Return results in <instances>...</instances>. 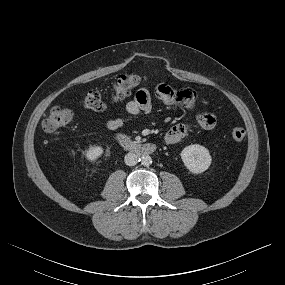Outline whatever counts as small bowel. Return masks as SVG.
<instances>
[{
  "label": "small bowel",
  "instance_id": "c3829d8e",
  "mask_svg": "<svg viewBox=\"0 0 285 285\" xmlns=\"http://www.w3.org/2000/svg\"><path fill=\"white\" fill-rule=\"evenodd\" d=\"M152 99L158 104L179 103L190 108L195 103V93L191 89L175 91L165 83H158L153 86L151 93L148 89L142 88L137 91L134 98L125 104L126 115L106 122V128L116 131L121 128L133 116L141 113H149L152 110ZM217 120L214 114L202 112L195 116L194 124L205 130H211L216 126ZM192 124L183 123L171 127L164 135L166 145H174L181 141L191 129Z\"/></svg>",
  "mask_w": 285,
  "mask_h": 285
}]
</instances>
